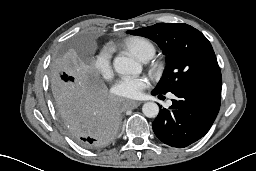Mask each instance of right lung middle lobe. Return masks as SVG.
I'll use <instances>...</instances> for the list:
<instances>
[{
  "mask_svg": "<svg viewBox=\"0 0 256 171\" xmlns=\"http://www.w3.org/2000/svg\"><path fill=\"white\" fill-rule=\"evenodd\" d=\"M50 81L55 105L58 106L82 90L71 72L69 60L61 57L53 62Z\"/></svg>",
  "mask_w": 256,
  "mask_h": 171,
  "instance_id": "1",
  "label": "right lung middle lobe"
}]
</instances>
